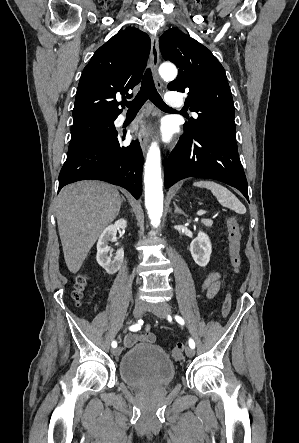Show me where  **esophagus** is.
<instances>
[{"label":"esophagus","mask_w":299,"mask_h":443,"mask_svg":"<svg viewBox=\"0 0 299 443\" xmlns=\"http://www.w3.org/2000/svg\"><path fill=\"white\" fill-rule=\"evenodd\" d=\"M159 61H160V51H159L158 37L153 36L151 39L150 64H151V68H152V71L154 74L156 86L159 89H161L162 83H161L158 73H157ZM149 136H150L149 127L146 126L145 123H142L139 133H138V140L140 142V146L142 148L143 153L146 152L147 145L149 142Z\"/></svg>","instance_id":"esophagus-1"}]
</instances>
